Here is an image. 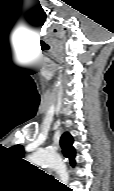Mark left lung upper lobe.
<instances>
[{"label": "left lung upper lobe", "mask_w": 114, "mask_h": 191, "mask_svg": "<svg viewBox=\"0 0 114 191\" xmlns=\"http://www.w3.org/2000/svg\"><path fill=\"white\" fill-rule=\"evenodd\" d=\"M73 138L72 136L66 132L62 135L60 139V145L62 147V152L66 158L70 160V164L72 166L75 165V150L72 146ZM14 154H16L19 158H22L24 156V149L21 145H15L10 148Z\"/></svg>", "instance_id": "obj_1"}]
</instances>
